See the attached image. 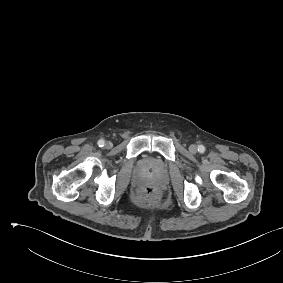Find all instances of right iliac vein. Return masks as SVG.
<instances>
[{
    "instance_id": "63e3f726",
    "label": "right iliac vein",
    "mask_w": 283,
    "mask_h": 283,
    "mask_svg": "<svg viewBox=\"0 0 283 283\" xmlns=\"http://www.w3.org/2000/svg\"><path fill=\"white\" fill-rule=\"evenodd\" d=\"M105 147L110 149L112 147V143L110 141L106 142Z\"/></svg>"
}]
</instances>
